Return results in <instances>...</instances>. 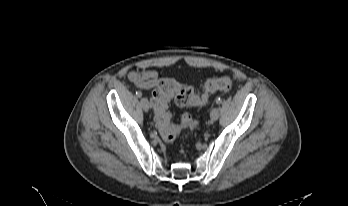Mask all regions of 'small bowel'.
Segmentation results:
<instances>
[{
  "instance_id": "1",
  "label": "small bowel",
  "mask_w": 348,
  "mask_h": 206,
  "mask_svg": "<svg viewBox=\"0 0 348 206\" xmlns=\"http://www.w3.org/2000/svg\"><path fill=\"white\" fill-rule=\"evenodd\" d=\"M127 77L135 86L145 90L156 88L161 81L157 71L147 68L129 71Z\"/></svg>"
}]
</instances>
